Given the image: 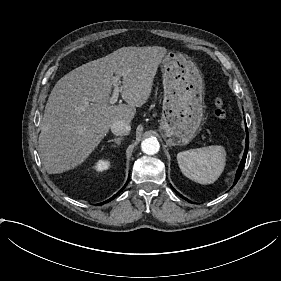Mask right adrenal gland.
<instances>
[{
	"mask_svg": "<svg viewBox=\"0 0 281 281\" xmlns=\"http://www.w3.org/2000/svg\"><path fill=\"white\" fill-rule=\"evenodd\" d=\"M123 140V137H118V138H114V139H110L108 140V142H115L117 145L121 144V141Z\"/></svg>",
	"mask_w": 281,
	"mask_h": 281,
	"instance_id": "right-adrenal-gland-1",
	"label": "right adrenal gland"
}]
</instances>
